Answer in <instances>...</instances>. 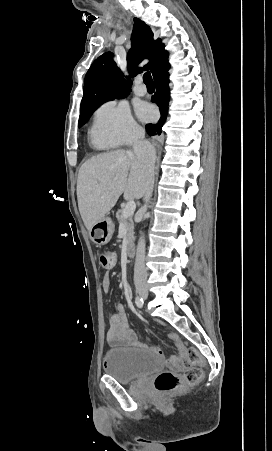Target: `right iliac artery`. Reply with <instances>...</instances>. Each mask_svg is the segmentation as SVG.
I'll list each match as a JSON object with an SVG mask.
<instances>
[{
    "mask_svg": "<svg viewBox=\"0 0 272 451\" xmlns=\"http://www.w3.org/2000/svg\"><path fill=\"white\" fill-rule=\"evenodd\" d=\"M135 304L137 305V307L142 308L143 304H144V301H143V299L141 297L136 296Z\"/></svg>",
    "mask_w": 272,
    "mask_h": 451,
    "instance_id": "obj_1",
    "label": "right iliac artery"
}]
</instances>
